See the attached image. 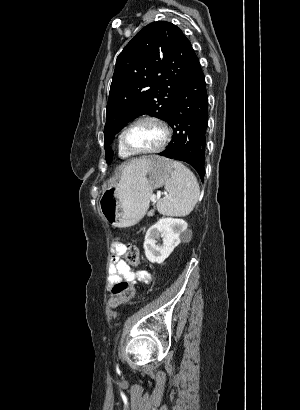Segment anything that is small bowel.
<instances>
[{"instance_id": "c3829d8e", "label": "small bowel", "mask_w": 300, "mask_h": 410, "mask_svg": "<svg viewBox=\"0 0 300 410\" xmlns=\"http://www.w3.org/2000/svg\"><path fill=\"white\" fill-rule=\"evenodd\" d=\"M124 247L125 245L120 242H116L112 246L108 282L112 284L119 280H125L132 285L139 283L148 284L151 279V274L147 270H133L130 265L121 258Z\"/></svg>"}]
</instances>
